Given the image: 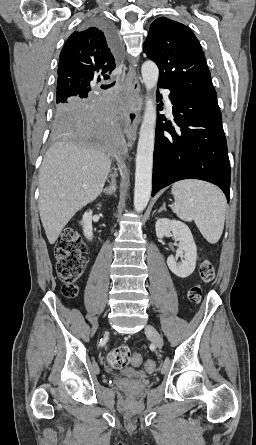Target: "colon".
I'll list each match as a JSON object with an SVG mask.
<instances>
[{"label": "colon", "instance_id": "colon-1", "mask_svg": "<svg viewBox=\"0 0 256 445\" xmlns=\"http://www.w3.org/2000/svg\"><path fill=\"white\" fill-rule=\"evenodd\" d=\"M87 246L76 228L65 229L55 246V257L57 260V272L60 279L65 283L62 293L66 298L72 299L77 296L78 289L74 284L81 276L85 267L84 253ZM200 282L203 284L211 282L215 278V269L212 264L205 260L199 270ZM202 290L199 285L190 288L188 298L192 303L200 302ZM108 364L115 369H123L130 362L133 365H140L142 356L139 353H131L128 346L122 345L112 349L107 355ZM147 371L155 369V362L147 360L145 362Z\"/></svg>", "mask_w": 256, "mask_h": 445}]
</instances>
